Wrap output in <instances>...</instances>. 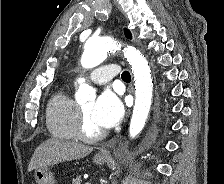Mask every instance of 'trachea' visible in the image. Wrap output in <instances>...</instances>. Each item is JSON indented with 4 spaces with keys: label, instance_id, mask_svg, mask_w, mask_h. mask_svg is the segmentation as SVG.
I'll list each match as a JSON object with an SVG mask.
<instances>
[{
    "label": "trachea",
    "instance_id": "trachea-1",
    "mask_svg": "<svg viewBox=\"0 0 224 184\" xmlns=\"http://www.w3.org/2000/svg\"><path fill=\"white\" fill-rule=\"evenodd\" d=\"M122 80L123 81H130L131 80V76L130 73L128 71H124L121 75Z\"/></svg>",
    "mask_w": 224,
    "mask_h": 184
}]
</instances>
